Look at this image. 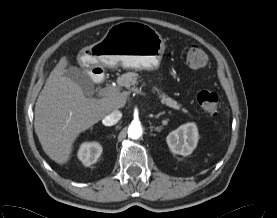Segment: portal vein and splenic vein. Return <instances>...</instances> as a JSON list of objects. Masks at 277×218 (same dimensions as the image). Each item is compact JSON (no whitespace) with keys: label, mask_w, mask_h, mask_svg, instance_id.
<instances>
[{"label":"portal vein and splenic vein","mask_w":277,"mask_h":218,"mask_svg":"<svg viewBox=\"0 0 277 218\" xmlns=\"http://www.w3.org/2000/svg\"><path fill=\"white\" fill-rule=\"evenodd\" d=\"M117 91V88H114L112 86H108V87H105L103 89H101L98 93L99 96H102V95H107V94H110V93H113V92H116ZM137 94H140V95H146L144 92L141 91V89H135L134 90Z\"/></svg>","instance_id":"obj_1"}]
</instances>
